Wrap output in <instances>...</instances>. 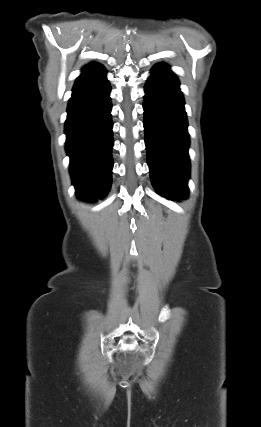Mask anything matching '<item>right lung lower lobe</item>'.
<instances>
[{"label":"right lung lower lobe","instance_id":"1","mask_svg":"<svg viewBox=\"0 0 261 427\" xmlns=\"http://www.w3.org/2000/svg\"><path fill=\"white\" fill-rule=\"evenodd\" d=\"M103 66L83 71L68 103L65 133L77 195L95 201L111 186L113 146L110 85Z\"/></svg>","mask_w":261,"mask_h":427}]
</instances>
